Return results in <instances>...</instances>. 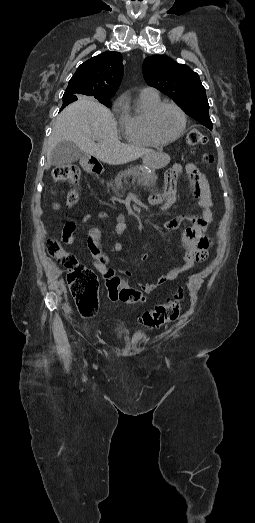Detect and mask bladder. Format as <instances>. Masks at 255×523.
<instances>
[{"instance_id":"obj_1","label":"bladder","mask_w":255,"mask_h":523,"mask_svg":"<svg viewBox=\"0 0 255 523\" xmlns=\"http://www.w3.org/2000/svg\"><path fill=\"white\" fill-rule=\"evenodd\" d=\"M120 330H121V327H120V326H118V327H117V328L115 329V332H116V333H119V332H120Z\"/></svg>"}]
</instances>
